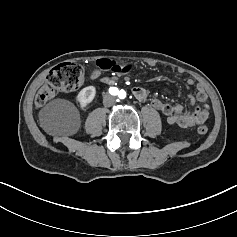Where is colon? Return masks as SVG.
I'll return each instance as SVG.
<instances>
[{"label":"colon","mask_w":237,"mask_h":237,"mask_svg":"<svg viewBox=\"0 0 237 237\" xmlns=\"http://www.w3.org/2000/svg\"><path fill=\"white\" fill-rule=\"evenodd\" d=\"M97 67L103 71H109L114 75H124L132 70V64H120L111 59H99ZM85 80V71L82 66L74 63H62L55 66L48 74L45 83L40 87L36 95V105L44 106L52 100L58 92H71L77 90ZM207 126L199 124V134L207 133Z\"/></svg>","instance_id":"obj_1"}]
</instances>
